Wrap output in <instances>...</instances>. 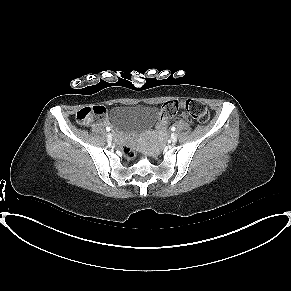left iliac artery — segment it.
Segmentation results:
<instances>
[{"mask_svg": "<svg viewBox=\"0 0 291 291\" xmlns=\"http://www.w3.org/2000/svg\"><path fill=\"white\" fill-rule=\"evenodd\" d=\"M171 130H172V131H175V130H176V128L173 126V127L171 128Z\"/></svg>", "mask_w": 291, "mask_h": 291, "instance_id": "obj_1", "label": "left iliac artery"}]
</instances>
